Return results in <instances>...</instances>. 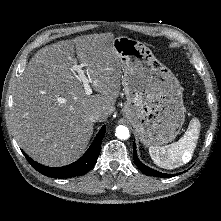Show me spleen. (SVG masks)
Segmentation results:
<instances>
[{
	"mask_svg": "<svg viewBox=\"0 0 221 221\" xmlns=\"http://www.w3.org/2000/svg\"><path fill=\"white\" fill-rule=\"evenodd\" d=\"M200 122L197 118L190 121L185 134L175 143L166 147L150 146L149 154L154 163L165 169H175L188 163L199 138Z\"/></svg>",
	"mask_w": 221,
	"mask_h": 221,
	"instance_id": "obj_1",
	"label": "spleen"
}]
</instances>
